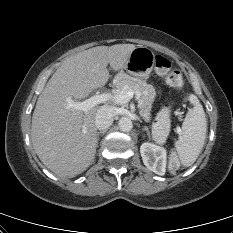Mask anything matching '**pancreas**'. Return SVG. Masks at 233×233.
Listing matches in <instances>:
<instances>
[{
  "label": "pancreas",
  "instance_id": "obj_1",
  "mask_svg": "<svg viewBox=\"0 0 233 233\" xmlns=\"http://www.w3.org/2000/svg\"><path fill=\"white\" fill-rule=\"evenodd\" d=\"M124 87H127L128 91H138L140 93V97L138 100L140 115L146 122H150L151 120V108L152 103L155 97V89L153 86L147 84L145 81L131 77L125 73H120L115 78V90L114 92L120 93ZM168 135V131L162 128H156V124L153 125V137L159 143H164L166 137Z\"/></svg>",
  "mask_w": 233,
  "mask_h": 233
}]
</instances>
